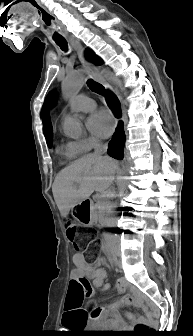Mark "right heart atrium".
Here are the masks:
<instances>
[{"mask_svg":"<svg viewBox=\"0 0 193 336\" xmlns=\"http://www.w3.org/2000/svg\"><path fill=\"white\" fill-rule=\"evenodd\" d=\"M76 148L81 152L85 153L94 148L98 141L93 137H86L77 141L72 142Z\"/></svg>","mask_w":193,"mask_h":336,"instance_id":"right-heart-atrium-1","label":"right heart atrium"}]
</instances>
